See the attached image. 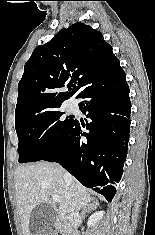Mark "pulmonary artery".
<instances>
[{"instance_id": "e3ab8cb5", "label": "pulmonary artery", "mask_w": 155, "mask_h": 235, "mask_svg": "<svg viewBox=\"0 0 155 235\" xmlns=\"http://www.w3.org/2000/svg\"><path fill=\"white\" fill-rule=\"evenodd\" d=\"M70 109H71V111H73V112L77 111L78 107H77L76 103L72 102V103L70 104Z\"/></svg>"}]
</instances>
